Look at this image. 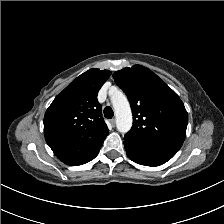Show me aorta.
<instances>
[{"label": "aorta", "mask_w": 224, "mask_h": 224, "mask_svg": "<svg viewBox=\"0 0 224 224\" xmlns=\"http://www.w3.org/2000/svg\"><path fill=\"white\" fill-rule=\"evenodd\" d=\"M111 103L116 115L117 130L127 133L132 127V112L127 97L115 89L111 94Z\"/></svg>", "instance_id": "762f6f07"}]
</instances>
